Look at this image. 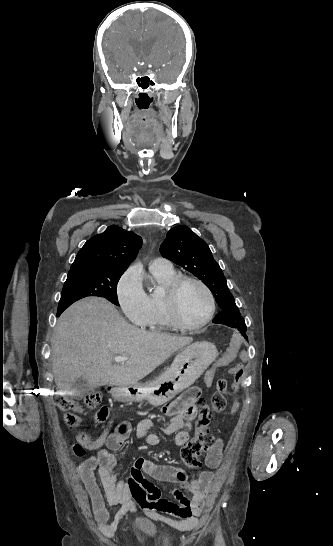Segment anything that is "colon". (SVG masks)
<instances>
[{
	"mask_svg": "<svg viewBox=\"0 0 333 546\" xmlns=\"http://www.w3.org/2000/svg\"><path fill=\"white\" fill-rule=\"evenodd\" d=\"M245 371V367L241 365L230 368V373L234 374L230 381L235 389L242 387L241 380L244 379ZM216 388L217 391L211 397V407L203 399L196 401L194 406L197 413L196 432L193 438L181 448V458L191 469H198L201 466L199 457L208 449L212 440L210 425L213 414L223 411L227 405L225 394L229 392L228 382L225 379H218ZM100 402L101 395L97 392L89 393L84 398V405L88 408H95ZM57 404L60 410L67 412L64 415L65 424L71 429L78 428L81 425V418L77 413L81 411V406L67 396H58ZM108 416L109 408L103 405L96 413L95 421L102 423Z\"/></svg>",
	"mask_w": 333,
	"mask_h": 546,
	"instance_id": "colon-1",
	"label": "colon"
}]
</instances>
